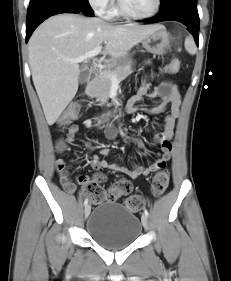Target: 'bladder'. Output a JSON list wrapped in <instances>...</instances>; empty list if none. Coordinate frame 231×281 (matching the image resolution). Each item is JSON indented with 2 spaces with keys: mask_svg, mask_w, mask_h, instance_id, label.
<instances>
[{
  "mask_svg": "<svg viewBox=\"0 0 231 281\" xmlns=\"http://www.w3.org/2000/svg\"><path fill=\"white\" fill-rule=\"evenodd\" d=\"M88 235L109 250L128 247L142 232L139 218L123 205L111 201L100 203L87 220Z\"/></svg>",
  "mask_w": 231,
  "mask_h": 281,
  "instance_id": "1",
  "label": "bladder"
}]
</instances>
